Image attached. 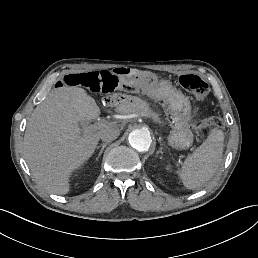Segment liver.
<instances>
[{
    "mask_svg": "<svg viewBox=\"0 0 258 258\" xmlns=\"http://www.w3.org/2000/svg\"><path fill=\"white\" fill-rule=\"evenodd\" d=\"M99 108L82 88L54 89L33 111L24 135V158L48 192L66 194L67 175L93 153L101 132L81 129Z\"/></svg>",
    "mask_w": 258,
    "mask_h": 258,
    "instance_id": "obj_1",
    "label": "liver"
}]
</instances>
